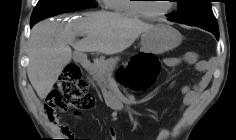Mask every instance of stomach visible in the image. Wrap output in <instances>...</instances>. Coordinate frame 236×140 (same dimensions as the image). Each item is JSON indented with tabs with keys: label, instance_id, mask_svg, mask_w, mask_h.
Here are the masks:
<instances>
[{
	"label": "stomach",
	"instance_id": "stomach-1",
	"mask_svg": "<svg viewBox=\"0 0 236 140\" xmlns=\"http://www.w3.org/2000/svg\"><path fill=\"white\" fill-rule=\"evenodd\" d=\"M182 35L172 26L159 23L145 31L141 36L143 54H162L175 49L181 44Z\"/></svg>",
	"mask_w": 236,
	"mask_h": 140
}]
</instances>
